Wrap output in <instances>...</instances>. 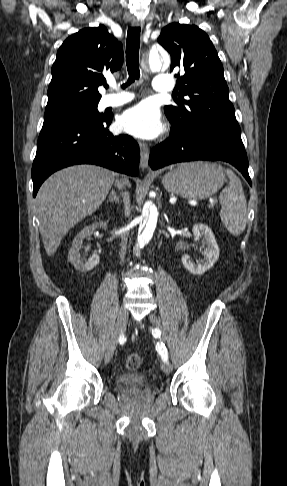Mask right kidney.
Instances as JSON below:
<instances>
[{
  "instance_id": "right-kidney-1",
  "label": "right kidney",
  "mask_w": 287,
  "mask_h": 486,
  "mask_svg": "<svg viewBox=\"0 0 287 486\" xmlns=\"http://www.w3.org/2000/svg\"><path fill=\"white\" fill-rule=\"evenodd\" d=\"M96 228H103L106 230L107 222L93 223L92 225L84 227L74 238L71 249L69 250L68 260L74 265L75 269L80 272H88L99 264L100 257L97 253H94L87 261L86 259L81 258L79 252L84 239H90Z\"/></svg>"
}]
</instances>
